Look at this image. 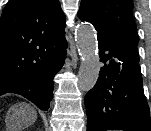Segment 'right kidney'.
<instances>
[{
	"label": "right kidney",
	"mask_w": 151,
	"mask_h": 131,
	"mask_svg": "<svg viewBox=\"0 0 151 131\" xmlns=\"http://www.w3.org/2000/svg\"><path fill=\"white\" fill-rule=\"evenodd\" d=\"M10 118H11L12 120H14V119H15V115H11ZM25 124H28V119L25 120ZM17 130H18L17 127H12V128L10 129V131H17Z\"/></svg>",
	"instance_id": "obj_1"
}]
</instances>
